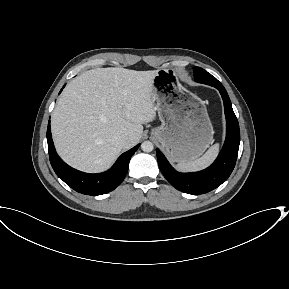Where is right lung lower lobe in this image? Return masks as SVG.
<instances>
[{"label": "right lung lower lobe", "mask_w": 289, "mask_h": 289, "mask_svg": "<svg viewBox=\"0 0 289 289\" xmlns=\"http://www.w3.org/2000/svg\"><path fill=\"white\" fill-rule=\"evenodd\" d=\"M47 142L50 162L57 176L75 191L86 195L106 194L118 187L128 172L131 157L139 147L138 144L123 153L108 171L88 174L71 168L57 155L52 140L50 121L47 127Z\"/></svg>", "instance_id": "1"}]
</instances>
